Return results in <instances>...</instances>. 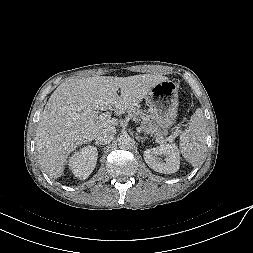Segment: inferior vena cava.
Segmentation results:
<instances>
[{"label":"inferior vena cava","mask_w":253,"mask_h":253,"mask_svg":"<svg viewBox=\"0 0 253 253\" xmlns=\"http://www.w3.org/2000/svg\"><path fill=\"white\" fill-rule=\"evenodd\" d=\"M116 134V128L112 125L101 127L95 135V140L99 144L110 143L114 135Z\"/></svg>","instance_id":"obj_1"}]
</instances>
